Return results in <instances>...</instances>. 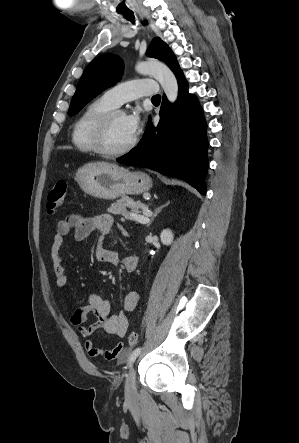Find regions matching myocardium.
I'll return each mask as SVG.
<instances>
[{"instance_id": "f54148a6", "label": "myocardium", "mask_w": 299, "mask_h": 443, "mask_svg": "<svg viewBox=\"0 0 299 443\" xmlns=\"http://www.w3.org/2000/svg\"><path fill=\"white\" fill-rule=\"evenodd\" d=\"M118 115H125L120 109H112L103 114L96 123L93 142L96 152L107 158H116L130 152L138 142V136L135 134L133 139L123 148L119 150H110L106 145V138L113 119Z\"/></svg>"}]
</instances>
